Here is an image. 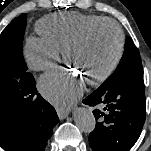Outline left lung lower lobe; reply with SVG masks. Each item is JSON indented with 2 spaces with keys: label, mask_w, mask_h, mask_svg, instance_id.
<instances>
[{
  "label": "left lung lower lobe",
  "mask_w": 151,
  "mask_h": 151,
  "mask_svg": "<svg viewBox=\"0 0 151 151\" xmlns=\"http://www.w3.org/2000/svg\"><path fill=\"white\" fill-rule=\"evenodd\" d=\"M93 111L95 129L89 135L93 151H126L138 140L145 122L143 74H133L107 91L93 92L83 100Z\"/></svg>",
  "instance_id": "left-lung-lower-lobe-1"
}]
</instances>
